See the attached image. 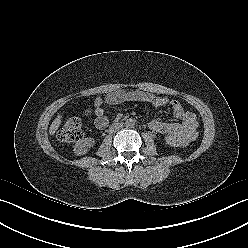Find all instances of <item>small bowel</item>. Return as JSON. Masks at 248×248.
<instances>
[{
    "instance_id": "c3829d8e",
    "label": "small bowel",
    "mask_w": 248,
    "mask_h": 248,
    "mask_svg": "<svg viewBox=\"0 0 248 248\" xmlns=\"http://www.w3.org/2000/svg\"><path fill=\"white\" fill-rule=\"evenodd\" d=\"M127 101L144 102L155 108L170 106L174 117L179 122H165L152 119L148 123L149 128L159 134L177 136L183 141V144L192 142L197 138L199 122L193 112L184 109L177 100H170L165 96L140 90H117L104 96L96 97L94 100V124L96 128L104 129L108 126L109 120L103 109L104 104L115 105Z\"/></svg>"
}]
</instances>
